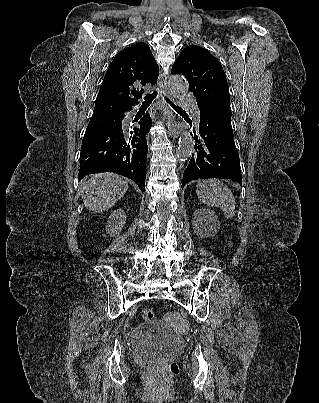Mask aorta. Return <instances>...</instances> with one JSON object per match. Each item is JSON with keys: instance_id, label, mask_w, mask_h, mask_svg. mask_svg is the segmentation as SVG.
<instances>
[{"instance_id": "762f6f07", "label": "aorta", "mask_w": 319, "mask_h": 403, "mask_svg": "<svg viewBox=\"0 0 319 403\" xmlns=\"http://www.w3.org/2000/svg\"><path fill=\"white\" fill-rule=\"evenodd\" d=\"M169 89L175 97H184L189 90L187 80L178 75H173L168 81ZM194 149V141L189 131H183L179 137L178 148L176 151L177 158L185 161L192 155Z\"/></svg>"}]
</instances>
